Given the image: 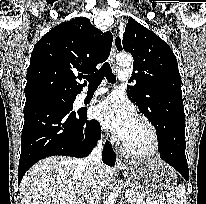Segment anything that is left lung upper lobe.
<instances>
[{"mask_svg": "<svg viewBox=\"0 0 206 204\" xmlns=\"http://www.w3.org/2000/svg\"><path fill=\"white\" fill-rule=\"evenodd\" d=\"M123 36L122 45L119 37L115 44L119 51L132 54L134 67L129 82L136 81L127 87V95L160 135L168 121L185 116L177 59L167 43L132 18Z\"/></svg>", "mask_w": 206, "mask_h": 204, "instance_id": "1", "label": "left lung upper lobe"}]
</instances>
